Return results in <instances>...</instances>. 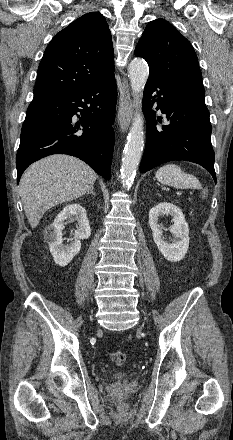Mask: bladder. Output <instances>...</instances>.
<instances>
[{"mask_svg": "<svg viewBox=\"0 0 233 440\" xmlns=\"http://www.w3.org/2000/svg\"><path fill=\"white\" fill-rule=\"evenodd\" d=\"M126 376H127V373L123 372V371L117 372L114 374V378H116V379H123V378H126Z\"/></svg>", "mask_w": 233, "mask_h": 440, "instance_id": "31cf9c89", "label": "bladder"}]
</instances>
